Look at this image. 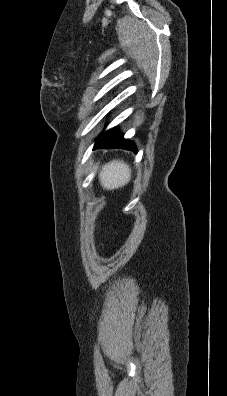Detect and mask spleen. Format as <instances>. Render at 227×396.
Here are the masks:
<instances>
[{
  "label": "spleen",
  "instance_id": "1",
  "mask_svg": "<svg viewBox=\"0 0 227 396\" xmlns=\"http://www.w3.org/2000/svg\"><path fill=\"white\" fill-rule=\"evenodd\" d=\"M130 178L129 166L120 160H113L103 166L99 175L101 185L108 190L124 186Z\"/></svg>",
  "mask_w": 227,
  "mask_h": 396
}]
</instances>
